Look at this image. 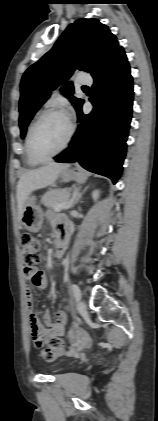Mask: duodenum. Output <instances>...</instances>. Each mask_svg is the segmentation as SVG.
I'll return each mask as SVG.
<instances>
[{"label": "duodenum", "mask_w": 158, "mask_h": 421, "mask_svg": "<svg viewBox=\"0 0 158 421\" xmlns=\"http://www.w3.org/2000/svg\"><path fill=\"white\" fill-rule=\"evenodd\" d=\"M68 247V235L62 234L59 236L56 246V256L62 257Z\"/></svg>", "instance_id": "duodenum-1"}]
</instances>
